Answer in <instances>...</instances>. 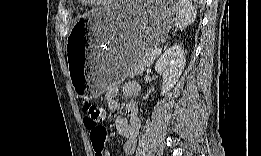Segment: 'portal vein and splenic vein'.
Here are the masks:
<instances>
[{
	"label": "portal vein and splenic vein",
	"mask_w": 261,
	"mask_h": 156,
	"mask_svg": "<svg viewBox=\"0 0 261 156\" xmlns=\"http://www.w3.org/2000/svg\"><path fill=\"white\" fill-rule=\"evenodd\" d=\"M160 53H161V49H160V48H155V49L152 51L151 56H152V57H157Z\"/></svg>",
	"instance_id": "portal-vein-and-splenic-vein-1"
}]
</instances>
